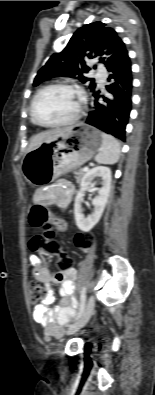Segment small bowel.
<instances>
[{
	"label": "small bowel",
	"instance_id": "1",
	"mask_svg": "<svg viewBox=\"0 0 155 395\" xmlns=\"http://www.w3.org/2000/svg\"><path fill=\"white\" fill-rule=\"evenodd\" d=\"M74 188L66 181H57L37 193L39 205L46 207L50 204H57L66 207L73 196ZM52 225L58 230H64L66 224L59 218H52ZM30 264L34 278L44 284L46 295L42 302L34 307L33 319L44 327V338H62L64 327L69 323L75 314L76 300L73 298L77 271L58 272L51 271L37 255H31ZM60 262V261H59ZM52 285H59V294L63 297V304L58 307H51L55 300V293Z\"/></svg>",
	"mask_w": 155,
	"mask_h": 395
}]
</instances>
